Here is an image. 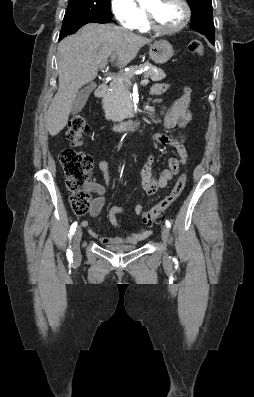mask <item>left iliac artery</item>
Segmentation results:
<instances>
[{"label":"left iliac artery","mask_w":254,"mask_h":397,"mask_svg":"<svg viewBox=\"0 0 254 397\" xmlns=\"http://www.w3.org/2000/svg\"><path fill=\"white\" fill-rule=\"evenodd\" d=\"M165 224H166L167 228H171V224H170V222L168 220H166Z\"/></svg>","instance_id":"44dca946"}]
</instances>
